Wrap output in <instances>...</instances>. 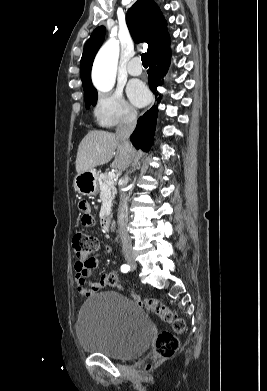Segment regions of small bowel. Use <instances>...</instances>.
Returning a JSON list of instances; mask_svg holds the SVG:
<instances>
[{
    "label": "small bowel",
    "mask_w": 267,
    "mask_h": 391,
    "mask_svg": "<svg viewBox=\"0 0 267 391\" xmlns=\"http://www.w3.org/2000/svg\"><path fill=\"white\" fill-rule=\"evenodd\" d=\"M78 209L82 213L81 223L85 227H91L94 225V217L91 214L90 205L82 200L78 203ZM98 266V258L94 257L93 263L89 265L75 264V281L77 291L84 297H90L96 292L100 291L108 284L109 273H104L98 282L89 283L88 279L91 272Z\"/></svg>",
    "instance_id": "obj_1"
}]
</instances>
